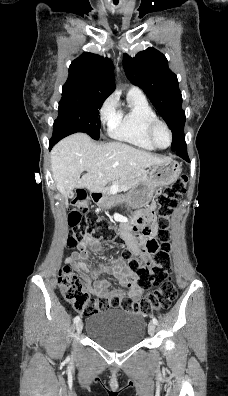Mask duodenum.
I'll list each match as a JSON object with an SVG mask.
<instances>
[{"instance_id":"duodenum-1","label":"duodenum","mask_w":228,"mask_h":396,"mask_svg":"<svg viewBox=\"0 0 228 396\" xmlns=\"http://www.w3.org/2000/svg\"><path fill=\"white\" fill-rule=\"evenodd\" d=\"M95 196L101 197V194L100 193H96Z\"/></svg>"}]
</instances>
